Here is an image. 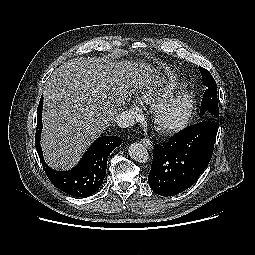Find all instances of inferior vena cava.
Here are the masks:
<instances>
[{"mask_svg":"<svg viewBox=\"0 0 255 255\" xmlns=\"http://www.w3.org/2000/svg\"><path fill=\"white\" fill-rule=\"evenodd\" d=\"M115 122L121 128L131 127L135 124V121L129 111H122L115 117Z\"/></svg>","mask_w":255,"mask_h":255,"instance_id":"obj_1","label":"inferior vena cava"}]
</instances>
